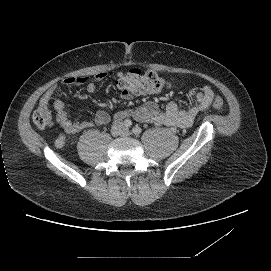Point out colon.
<instances>
[{"label": "colon", "mask_w": 271, "mask_h": 271, "mask_svg": "<svg viewBox=\"0 0 271 271\" xmlns=\"http://www.w3.org/2000/svg\"><path fill=\"white\" fill-rule=\"evenodd\" d=\"M117 84L122 91L131 95L158 94L166 87L165 80L157 72H142L137 68L130 69L123 78L118 80ZM212 104L217 110H224V101L220 97H214ZM33 122L40 129H45L51 124V116L47 107L39 106L33 114Z\"/></svg>", "instance_id": "colon-1"}]
</instances>
